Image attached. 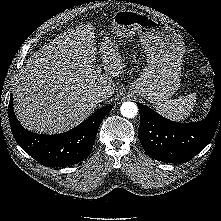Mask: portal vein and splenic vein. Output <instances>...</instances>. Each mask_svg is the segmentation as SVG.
<instances>
[{
    "mask_svg": "<svg viewBox=\"0 0 221 221\" xmlns=\"http://www.w3.org/2000/svg\"><path fill=\"white\" fill-rule=\"evenodd\" d=\"M96 71L99 72L100 71V66H96Z\"/></svg>",
    "mask_w": 221,
    "mask_h": 221,
    "instance_id": "1",
    "label": "portal vein and splenic vein"
}]
</instances>
